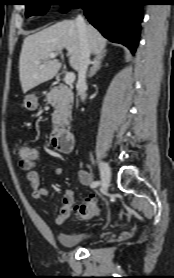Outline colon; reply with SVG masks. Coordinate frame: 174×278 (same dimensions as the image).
I'll return each instance as SVG.
<instances>
[{"label":"colon","instance_id":"1","mask_svg":"<svg viewBox=\"0 0 174 278\" xmlns=\"http://www.w3.org/2000/svg\"><path fill=\"white\" fill-rule=\"evenodd\" d=\"M20 159H34L38 156V151L31 147H20L18 149ZM98 212V201L94 197L86 199L84 203L74 209V216L78 219H87Z\"/></svg>","mask_w":174,"mask_h":278}]
</instances>
